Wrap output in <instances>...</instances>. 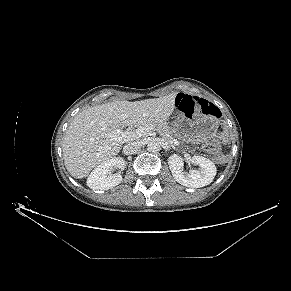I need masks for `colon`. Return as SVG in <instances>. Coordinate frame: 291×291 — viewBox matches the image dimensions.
Returning <instances> with one entry per match:
<instances>
[{
	"label": "colon",
	"instance_id": "1",
	"mask_svg": "<svg viewBox=\"0 0 291 291\" xmlns=\"http://www.w3.org/2000/svg\"><path fill=\"white\" fill-rule=\"evenodd\" d=\"M177 108L184 114L191 116L196 113L219 116V109L209 101L194 96L180 94L176 99ZM204 149L212 154H216L215 161L219 164L226 162V157L220 154L221 144L218 139H213L204 145Z\"/></svg>",
	"mask_w": 291,
	"mask_h": 291
}]
</instances>
